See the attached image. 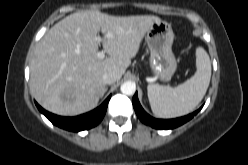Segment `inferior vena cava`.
<instances>
[{
    "instance_id": "602c4592",
    "label": "inferior vena cava",
    "mask_w": 248,
    "mask_h": 165,
    "mask_svg": "<svg viewBox=\"0 0 248 165\" xmlns=\"http://www.w3.org/2000/svg\"><path fill=\"white\" fill-rule=\"evenodd\" d=\"M105 84H113L118 80V76L115 72L109 71L103 75Z\"/></svg>"
}]
</instances>
